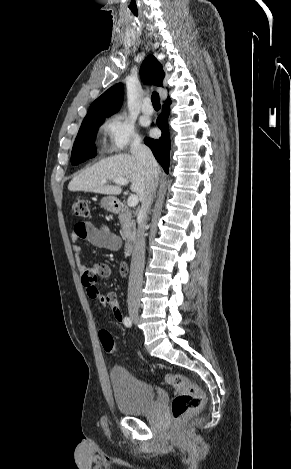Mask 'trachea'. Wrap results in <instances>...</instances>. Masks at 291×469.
Wrapping results in <instances>:
<instances>
[{"instance_id": "obj_1", "label": "trachea", "mask_w": 291, "mask_h": 469, "mask_svg": "<svg viewBox=\"0 0 291 469\" xmlns=\"http://www.w3.org/2000/svg\"><path fill=\"white\" fill-rule=\"evenodd\" d=\"M151 101H152V105L153 107L155 108H160V98H159V94L157 92H153L152 96H151Z\"/></svg>"}]
</instances>
